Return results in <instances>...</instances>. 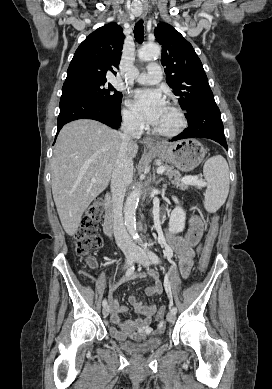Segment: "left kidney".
<instances>
[{
	"label": "left kidney",
	"mask_w": 272,
	"mask_h": 389,
	"mask_svg": "<svg viewBox=\"0 0 272 389\" xmlns=\"http://www.w3.org/2000/svg\"><path fill=\"white\" fill-rule=\"evenodd\" d=\"M177 204L176 208L171 212L169 219V231L171 233H180L185 228L186 213L181 206L177 197H172Z\"/></svg>",
	"instance_id": "left-kidney-1"
}]
</instances>
